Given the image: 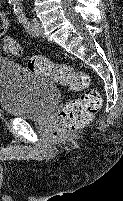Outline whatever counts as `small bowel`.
I'll return each mask as SVG.
<instances>
[{
  "instance_id": "c3829d8e",
  "label": "small bowel",
  "mask_w": 123,
  "mask_h": 201,
  "mask_svg": "<svg viewBox=\"0 0 123 201\" xmlns=\"http://www.w3.org/2000/svg\"><path fill=\"white\" fill-rule=\"evenodd\" d=\"M9 29V20L5 12L0 11V38H5Z\"/></svg>"
}]
</instances>
